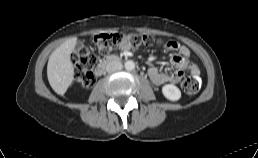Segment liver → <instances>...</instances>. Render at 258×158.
I'll return each instance as SVG.
<instances>
[{
    "mask_svg": "<svg viewBox=\"0 0 258 158\" xmlns=\"http://www.w3.org/2000/svg\"><path fill=\"white\" fill-rule=\"evenodd\" d=\"M77 43V37H72L57 47L49 57L47 77L52 89L63 95L74 79V67L70 59Z\"/></svg>",
    "mask_w": 258,
    "mask_h": 158,
    "instance_id": "1",
    "label": "liver"
}]
</instances>
